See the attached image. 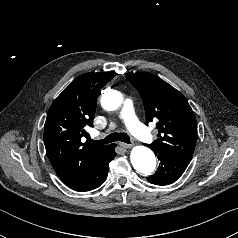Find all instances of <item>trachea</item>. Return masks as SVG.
<instances>
[{
	"mask_svg": "<svg viewBox=\"0 0 238 238\" xmlns=\"http://www.w3.org/2000/svg\"><path fill=\"white\" fill-rule=\"evenodd\" d=\"M117 140L128 143V144L131 143L129 136L126 133H111L103 140H99L96 142L99 144H108V143L115 142Z\"/></svg>",
	"mask_w": 238,
	"mask_h": 238,
	"instance_id": "obj_1",
	"label": "trachea"
}]
</instances>
